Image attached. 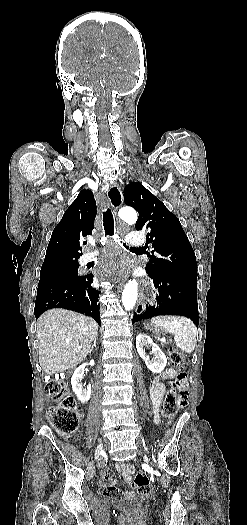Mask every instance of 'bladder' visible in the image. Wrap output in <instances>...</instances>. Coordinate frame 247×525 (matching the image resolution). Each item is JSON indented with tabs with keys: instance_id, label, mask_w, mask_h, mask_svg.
Instances as JSON below:
<instances>
[{
	"instance_id": "31cf9c89",
	"label": "bladder",
	"mask_w": 247,
	"mask_h": 525,
	"mask_svg": "<svg viewBox=\"0 0 247 525\" xmlns=\"http://www.w3.org/2000/svg\"><path fill=\"white\" fill-rule=\"evenodd\" d=\"M148 504L149 502L146 497L135 496L133 499H119L113 506L121 513H131L147 507Z\"/></svg>"
}]
</instances>
